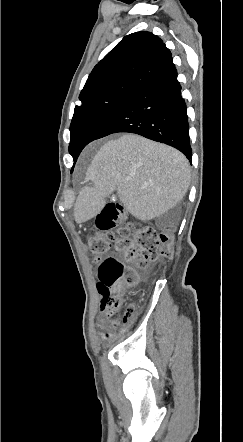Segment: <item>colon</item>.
Returning a JSON list of instances; mask_svg holds the SVG:
<instances>
[{
  "instance_id": "colon-1",
  "label": "colon",
  "mask_w": 243,
  "mask_h": 442,
  "mask_svg": "<svg viewBox=\"0 0 243 442\" xmlns=\"http://www.w3.org/2000/svg\"><path fill=\"white\" fill-rule=\"evenodd\" d=\"M97 231L90 237L89 246L97 269V289L102 296L101 308L108 307L113 316L111 330L104 336L111 338L119 327H127L133 321L136 310L132 303H126L124 294L139 278V270H146L148 263L157 258H170L173 254L174 239L168 231H157L147 226L131 235L130 220L118 200L108 204L95 218ZM118 228V234L113 230ZM114 249L122 256L123 262L109 254ZM125 263L136 262V268Z\"/></svg>"
}]
</instances>
